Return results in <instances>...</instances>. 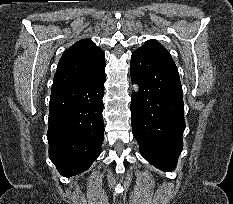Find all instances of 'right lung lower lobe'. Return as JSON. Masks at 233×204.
I'll return each mask as SVG.
<instances>
[{
  "mask_svg": "<svg viewBox=\"0 0 233 204\" xmlns=\"http://www.w3.org/2000/svg\"><path fill=\"white\" fill-rule=\"evenodd\" d=\"M104 69L86 82L51 93L49 158L63 176L87 170L101 152Z\"/></svg>",
  "mask_w": 233,
  "mask_h": 204,
  "instance_id": "right-lung-lower-lobe-1",
  "label": "right lung lower lobe"
}]
</instances>
